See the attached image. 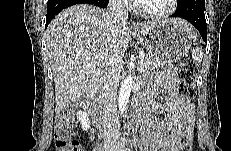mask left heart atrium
I'll list each match as a JSON object with an SVG mask.
<instances>
[{
  "label": "left heart atrium",
  "mask_w": 231,
  "mask_h": 151,
  "mask_svg": "<svg viewBox=\"0 0 231 151\" xmlns=\"http://www.w3.org/2000/svg\"><path fill=\"white\" fill-rule=\"evenodd\" d=\"M146 0H135V3H143Z\"/></svg>",
  "instance_id": "obj_1"
}]
</instances>
